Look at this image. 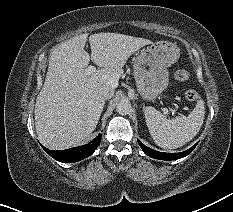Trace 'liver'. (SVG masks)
<instances>
[{
	"label": "liver",
	"instance_id": "liver-1",
	"mask_svg": "<svg viewBox=\"0 0 233 212\" xmlns=\"http://www.w3.org/2000/svg\"><path fill=\"white\" fill-rule=\"evenodd\" d=\"M88 34L72 37L49 57L45 82L36 98L35 128L40 142L62 150L79 145L96 128L105 100L102 86L115 90L128 58L148 39L118 33L89 36L91 56L85 51ZM90 59L99 69L88 74Z\"/></svg>",
	"mask_w": 233,
	"mask_h": 212
}]
</instances>
